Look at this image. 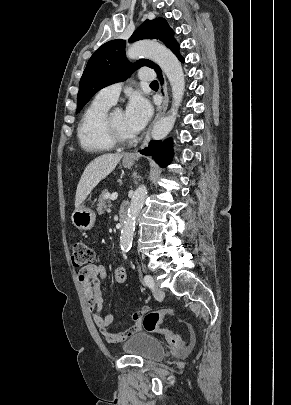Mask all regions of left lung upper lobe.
Masks as SVG:
<instances>
[{
    "mask_svg": "<svg viewBox=\"0 0 291 405\" xmlns=\"http://www.w3.org/2000/svg\"><path fill=\"white\" fill-rule=\"evenodd\" d=\"M142 39H158L169 49L177 42L173 31L163 18L146 20L130 37L129 41ZM125 40L116 39L100 46L89 59L79 84L77 96V113L88 100L100 89L124 81L142 66L159 68L152 61L142 59L132 65L125 57Z\"/></svg>",
    "mask_w": 291,
    "mask_h": 405,
    "instance_id": "1",
    "label": "left lung upper lobe"
}]
</instances>
